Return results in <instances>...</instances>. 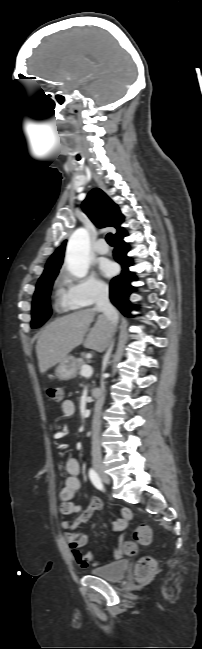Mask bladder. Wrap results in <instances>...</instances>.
<instances>
[{
    "label": "bladder",
    "mask_w": 202,
    "mask_h": 649,
    "mask_svg": "<svg viewBox=\"0 0 202 649\" xmlns=\"http://www.w3.org/2000/svg\"><path fill=\"white\" fill-rule=\"evenodd\" d=\"M128 566L129 562L127 560H119L111 564L94 568L91 571V574L107 581H117L125 574Z\"/></svg>",
    "instance_id": "1"
}]
</instances>
